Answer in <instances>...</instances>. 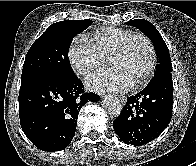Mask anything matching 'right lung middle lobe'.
Listing matches in <instances>:
<instances>
[{
  "label": "right lung middle lobe",
  "instance_id": "obj_1",
  "mask_svg": "<svg viewBox=\"0 0 196 166\" xmlns=\"http://www.w3.org/2000/svg\"><path fill=\"white\" fill-rule=\"evenodd\" d=\"M92 24L89 19L65 20L50 25L27 52L21 78L49 74L65 79L75 77L68 58L73 37Z\"/></svg>",
  "mask_w": 196,
  "mask_h": 166
}]
</instances>
